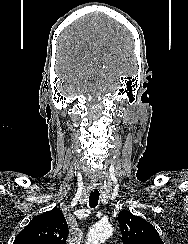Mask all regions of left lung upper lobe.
Masks as SVG:
<instances>
[{
    "label": "left lung upper lobe",
    "mask_w": 188,
    "mask_h": 244,
    "mask_svg": "<svg viewBox=\"0 0 188 244\" xmlns=\"http://www.w3.org/2000/svg\"><path fill=\"white\" fill-rule=\"evenodd\" d=\"M124 244H164L155 227L127 210L118 214Z\"/></svg>",
    "instance_id": "1"
}]
</instances>
